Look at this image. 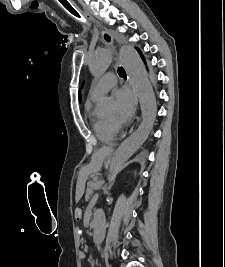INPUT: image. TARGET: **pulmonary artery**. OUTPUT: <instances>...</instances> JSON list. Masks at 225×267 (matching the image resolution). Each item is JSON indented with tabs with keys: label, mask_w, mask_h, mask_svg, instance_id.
I'll return each mask as SVG.
<instances>
[{
	"label": "pulmonary artery",
	"mask_w": 225,
	"mask_h": 267,
	"mask_svg": "<svg viewBox=\"0 0 225 267\" xmlns=\"http://www.w3.org/2000/svg\"><path fill=\"white\" fill-rule=\"evenodd\" d=\"M117 77L114 73H106L92 88L90 96L92 99H97L102 94L109 91L116 85Z\"/></svg>",
	"instance_id": "e3ab8cb5"
}]
</instances>
